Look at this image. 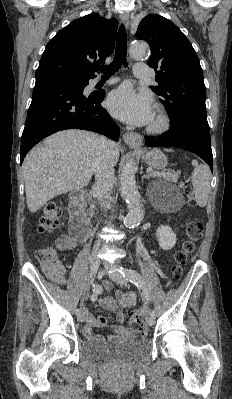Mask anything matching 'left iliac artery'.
<instances>
[{"label":"left iliac artery","instance_id":"left-iliac-artery-1","mask_svg":"<svg viewBox=\"0 0 232 399\" xmlns=\"http://www.w3.org/2000/svg\"><path fill=\"white\" fill-rule=\"evenodd\" d=\"M117 270L120 274L123 275V277H125L128 281L134 284L138 289H142L143 287H145L146 282L138 271L122 266L118 267ZM151 316L152 317L156 316L155 310L151 311Z\"/></svg>","mask_w":232,"mask_h":399}]
</instances>
